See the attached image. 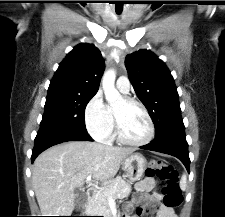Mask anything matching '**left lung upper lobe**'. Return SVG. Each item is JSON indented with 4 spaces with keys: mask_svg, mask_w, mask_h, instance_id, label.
Instances as JSON below:
<instances>
[{
    "mask_svg": "<svg viewBox=\"0 0 225 217\" xmlns=\"http://www.w3.org/2000/svg\"><path fill=\"white\" fill-rule=\"evenodd\" d=\"M125 65L138 98L154 122L155 137L183 127L177 88L164 62L149 50H139L126 56Z\"/></svg>",
    "mask_w": 225,
    "mask_h": 217,
    "instance_id": "obj_1",
    "label": "left lung upper lobe"
}]
</instances>
